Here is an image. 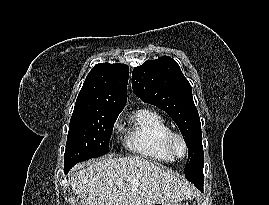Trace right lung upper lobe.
<instances>
[{"mask_svg":"<svg viewBox=\"0 0 269 205\" xmlns=\"http://www.w3.org/2000/svg\"><path fill=\"white\" fill-rule=\"evenodd\" d=\"M128 76L129 68L125 64H97L85 79L74 111L119 114L127 101Z\"/></svg>","mask_w":269,"mask_h":205,"instance_id":"right-lung-upper-lobe-1","label":"right lung upper lobe"}]
</instances>
